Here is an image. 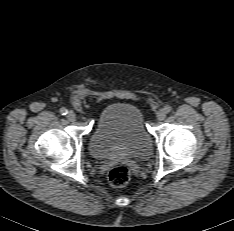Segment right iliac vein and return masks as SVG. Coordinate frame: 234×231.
I'll return each mask as SVG.
<instances>
[{
  "instance_id": "1",
  "label": "right iliac vein",
  "mask_w": 234,
  "mask_h": 231,
  "mask_svg": "<svg viewBox=\"0 0 234 231\" xmlns=\"http://www.w3.org/2000/svg\"><path fill=\"white\" fill-rule=\"evenodd\" d=\"M67 118L69 121L74 122L76 121V114L73 111H69L67 113Z\"/></svg>"
}]
</instances>
